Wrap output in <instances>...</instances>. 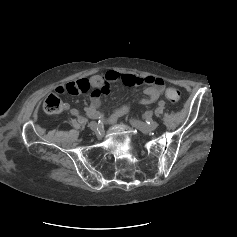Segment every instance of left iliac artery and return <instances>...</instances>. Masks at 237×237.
<instances>
[{
  "label": "left iliac artery",
  "instance_id": "obj_1",
  "mask_svg": "<svg viewBox=\"0 0 237 237\" xmlns=\"http://www.w3.org/2000/svg\"><path fill=\"white\" fill-rule=\"evenodd\" d=\"M158 105H159L160 107H163V106L165 105V102H164L163 100H161V101L158 102Z\"/></svg>",
  "mask_w": 237,
  "mask_h": 237
}]
</instances>
